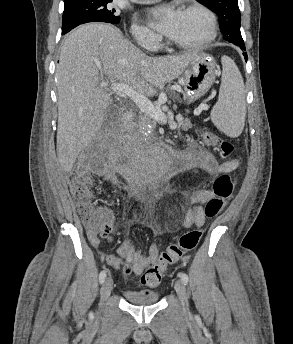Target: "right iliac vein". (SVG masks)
Here are the masks:
<instances>
[{"mask_svg": "<svg viewBox=\"0 0 293 344\" xmlns=\"http://www.w3.org/2000/svg\"><path fill=\"white\" fill-rule=\"evenodd\" d=\"M113 288V280L111 278H107L101 288V299L105 300L111 293Z\"/></svg>", "mask_w": 293, "mask_h": 344, "instance_id": "obj_1", "label": "right iliac vein"}]
</instances>
